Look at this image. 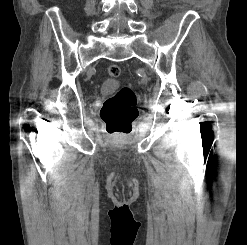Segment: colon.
<instances>
[{
  "label": "colon",
  "mask_w": 247,
  "mask_h": 245,
  "mask_svg": "<svg viewBox=\"0 0 247 245\" xmlns=\"http://www.w3.org/2000/svg\"><path fill=\"white\" fill-rule=\"evenodd\" d=\"M121 69L112 64L108 67L111 77H118ZM100 117L111 133H128L138 117L137 98L129 87H122L114 95L107 98L100 110Z\"/></svg>",
  "instance_id": "colon-1"
}]
</instances>
